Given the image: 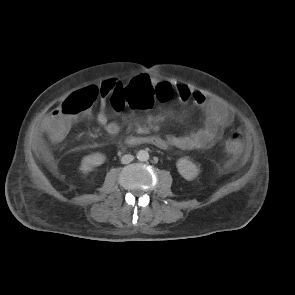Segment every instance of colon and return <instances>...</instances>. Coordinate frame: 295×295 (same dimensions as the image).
I'll return each mask as SVG.
<instances>
[{
    "instance_id": "colon-1",
    "label": "colon",
    "mask_w": 295,
    "mask_h": 295,
    "mask_svg": "<svg viewBox=\"0 0 295 295\" xmlns=\"http://www.w3.org/2000/svg\"><path fill=\"white\" fill-rule=\"evenodd\" d=\"M103 91L111 98L115 107L122 108L127 102L131 110H153L156 102H169L174 96L173 88L167 84L156 87H125L111 81L104 84ZM97 95L98 90L95 87H87L70 94L58 103L55 120L48 128L49 136L55 141L63 140L74 120L93 106ZM224 136L227 152L237 155L242 146V137L238 129L229 128Z\"/></svg>"
}]
</instances>
